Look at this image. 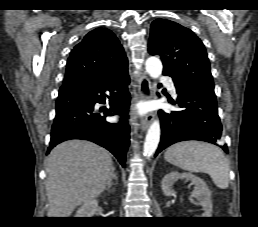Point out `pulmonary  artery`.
<instances>
[{
	"label": "pulmonary artery",
	"instance_id": "e3ab8cb5",
	"mask_svg": "<svg viewBox=\"0 0 258 227\" xmlns=\"http://www.w3.org/2000/svg\"><path fill=\"white\" fill-rule=\"evenodd\" d=\"M159 80H160V82H162V83L168 84L169 89H170V91L172 92V94H173V95H176L175 87H174V85H173V83H172V81H171L170 78H167V77H160Z\"/></svg>",
	"mask_w": 258,
	"mask_h": 227
}]
</instances>
